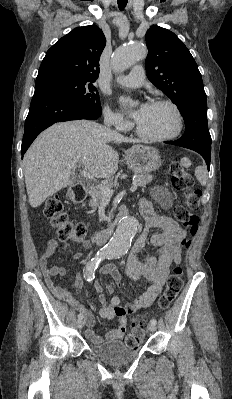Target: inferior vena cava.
Here are the masks:
<instances>
[{
	"label": "inferior vena cava",
	"instance_id": "1",
	"mask_svg": "<svg viewBox=\"0 0 232 399\" xmlns=\"http://www.w3.org/2000/svg\"><path fill=\"white\" fill-rule=\"evenodd\" d=\"M104 124L105 126H111V124H113L112 118H110V116H104Z\"/></svg>",
	"mask_w": 232,
	"mask_h": 399
}]
</instances>
